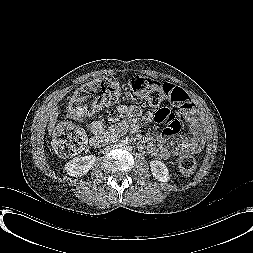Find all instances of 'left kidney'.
Masks as SVG:
<instances>
[{"instance_id":"left-kidney-1","label":"left kidney","mask_w":253,"mask_h":253,"mask_svg":"<svg viewBox=\"0 0 253 253\" xmlns=\"http://www.w3.org/2000/svg\"><path fill=\"white\" fill-rule=\"evenodd\" d=\"M150 168L153 177H155L157 180L161 182H167L169 181V171L166 165L158 160H152L150 161Z\"/></svg>"}]
</instances>
